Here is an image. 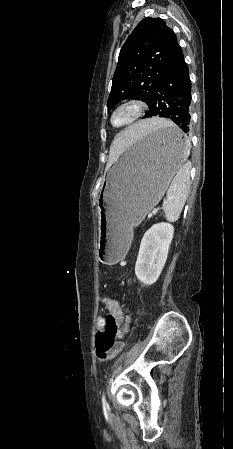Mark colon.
Returning a JSON list of instances; mask_svg holds the SVG:
<instances>
[{"mask_svg":"<svg viewBox=\"0 0 233 449\" xmlns=\"http://www.w3.org/2000/svg\"><path fill=\"white\" fill-rule=\"evenodd\" d=\"M108 314L105 318L106 329L96 336V351L99 355L107 354L120 348L121 343L128 337L132 328V317L122 318L118 302L106 296L103 299Z\"/></svg>","mask_w":233,"mask_h":449,"instance_id":"1","label":"colon"}]
</instances>
